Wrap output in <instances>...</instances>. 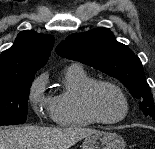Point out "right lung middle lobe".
I'll list each match as a JSON object with an SVG mask.
<instances>
[{
  "mask_svg": "<svg viewBox=\"0 0 155 149\" xmlns=\"http://www.w3.org/2000/svg\"><path fill=\"white\" fill-rule=\"evenodd\" d=\"M34 75L0 78V126L23 124Z\"/></svg>",
  "mask_w": 155,
  "mask_h": 149,
  "instance_id": "obj_1",
  "label": "right lung middle lobe"
}]
</instances>
